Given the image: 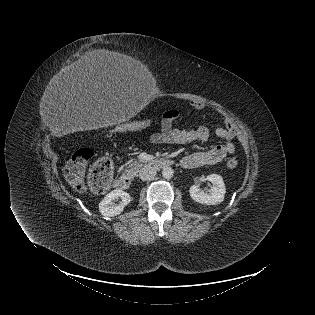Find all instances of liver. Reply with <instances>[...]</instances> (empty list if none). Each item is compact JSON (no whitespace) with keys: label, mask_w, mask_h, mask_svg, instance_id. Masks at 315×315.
<instances>
[{"label":"liver","mask_w":315,"mask_h":315,"mask_svg":"<svg viewBox=\"0 0 315 315\" xmlns=\"http://www.w3.org/2000/svg\"><path fill=\"white\" fill-rule=\"evenodd\" d=\"M137 66L138 62L130 56L104 49L95 50L68 66L56 78L71 82L121 80L126 79Z\"/></svg>","instance_id":"liver-1"}]
</instances>
